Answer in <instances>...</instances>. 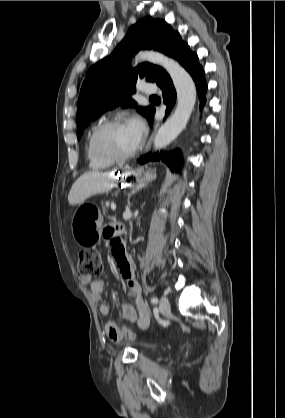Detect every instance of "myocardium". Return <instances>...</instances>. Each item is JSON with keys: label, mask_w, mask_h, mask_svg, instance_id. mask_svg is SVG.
Wrapping results in <instances>:
<instances>
[{"label": "myocardium", "mask_w": 285, "mask_h": 418, "mask_svg": "<svg viewBox=\"0 0 285 418\" xmlns=\"http://www.w3.org/2000/svg\"><path fill=\"white\" fill-rule=\"evenodd\" d=\"M125 125V122L121 118H111L105 120L97 125L93 130L89 138V146L92 153L102 161L110 163H118L131 159L135 156L138 150V143L134 148L124 155H117L111 152L107 147L101 143L102 135L109 129L120 127Z\"/></svg>", "instance_id": "obj_1"}]
</instances>
